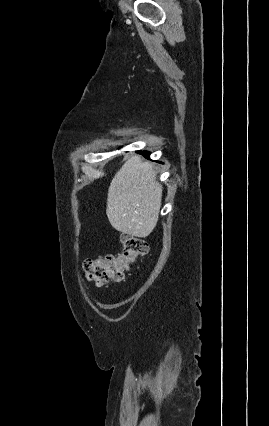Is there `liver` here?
Returning a JSON list of instances; mask_svg holds the SVG:
<instances>
[{
  "label": "liver",
  "mask_w": 269,
  "mask_h": 426,
  "mask_svg": "<svg viewBox=\"0 0 269 426\" xmlns=\"http://www.w3.org/2000/svg\"><path fill=\"white\" fill-rule=\"evenodd\" d=\"M149 162L131 157L113 177L106 214L117 231L140 238L155 228L162 201V185Z\"/></svg>",
  "instance_id": "1"
}]
</instances>
